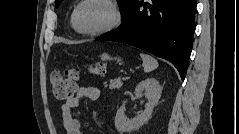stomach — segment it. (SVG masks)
Listing matches in <instances>:
<instances>
[{
	"label": "stomach",
	"mask_w": 239,
	"mask_h": 134,
	"mask_svg": "<svg viewBox=\"0 0 239 134\" xmlns=\"http://www.w3.org/2000/svg\"><path fill=\"white\" fill-rule=\"evenodd\" d=\"M101 60H117V62H121V59L120 58H112V57H110L107 53H103L102 55H101Z\"/></svg>",
	"instance_id": "stomach-1"
}]
</instances>
